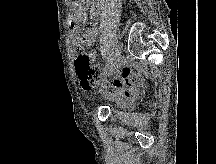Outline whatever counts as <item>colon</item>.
Listing matches in <instances>:
<instances>
[{
    "instance_id": "1",
    "label": "colon",
    "mask_w": 216,
    "mask_h": 164,
    "mask_svg": "<svg viewBox=\"0 0 216 164\" xmlns=\"http://www.w3.org/2000/svg\"><path fill=\"white\" fill-rule=\"evenodd\" d=\"M73 47L79 53L75 60V66L81 86L86 90L95 88L100 82V72L93 63L92 57L82 53L84 47L82 38L76 37L73 41Z\"/></svg>"
}]
</instances>
